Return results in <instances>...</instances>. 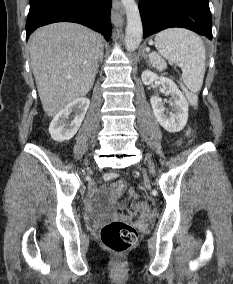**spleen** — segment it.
Segmentation results:
<instances>
[{
  "label": "spleen",
  "mask_w": 233,
  "mask_h": 284,
  "mask_svg": "<svg viewBox=\"0 0 233 284\" xmlns=\"http://www.w3.org/2000/svg\"><path fill=\"white\" fill-rule=\"evenodd\" d=\"M155 47L162 57L181 68L185 86L198 93L203 84L206 61L202 39L187 29L171 28L156 34ZM149 58L153 63L156 54L151 53Z\"/></svg>",
  "instance_id": "spleen-1"
}]
</instances>
